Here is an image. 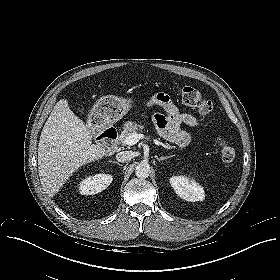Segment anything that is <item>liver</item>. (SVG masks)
I'll return each instance as SVG.
<instances>
[{
  "mask_svg": "<svg viewBox=\"0 0 280 280\" xmlns=\"http://www.w3.org/2000/svg\"><path fill=\"white\" fill-rule=\"evenodd\" d=\"M106 155L92 144L91 130L71 111L68 101H58L41 132L38 172L44 191L53 196L82 165Z\"/></svg>",
  "mask_w": 280,
  "mask_h": 280,
  "instance_id": "obj_1",
  "label": "liver"
}]
</instances>
